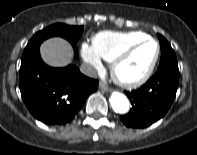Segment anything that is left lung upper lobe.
Here are the masks:
<instances>
[{"mask_svg":"<svg viewBox=\"0 0 197 155\" xmlns=\"http://www.w3.org/2000/svg\"><path fill=\"white\" fill-rule=\"evenodd\" d=\"M157 35L161 47V60L157 71L166 68L178 70V62L174 50L172 49L169 42L162 35L160 34Z\"/></svg>","mask_w":197,"mask_h":155,"instance_id":"obj_1","label":"left lung upper lobe"}]
</instances>
